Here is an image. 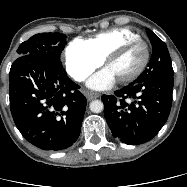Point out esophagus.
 Returning a JSON list of instances; mask_svg holds the SVG:
<instances>
[{"label":"esophagus","mask_w":187,"mask_h":187,"mask_svg":"<svg viewBox=\"0 0 187 187\" xmlns=\"http://www.w3.org/2000/svg\"><path fill=\"white\" fill-rule=\"evenodd\" d=\"M83 94L85 95V97L87 98V100H93V99H96L99 97V94L98 93H95V92H91V91H88V90H83Z\"/></svg>","instance_id":"esophagus-1"}]
</instances>
